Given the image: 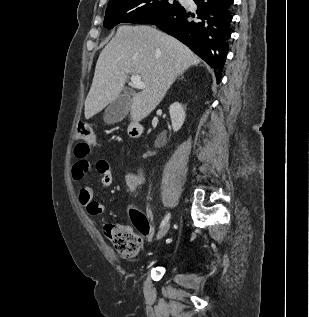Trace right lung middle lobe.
I'll list each match as a JSON object with an SVG mask.
<instances>
[{"label": "right lung middle lobe", "mask_w": 309, "mask_h": 317, "mask_svg": "<svg viewBox=\"0 0 309 317\" xmlns=\"http://www.w3.org/2000/svg\"><path fill=\"white\" fill-rule=\"evenodd\" d=\"M179 6L176 0H110L103 25L107 29H112L119 23H138Z\"/></svg>", "instance_id": "right-lung-middle-lobe-1"}]
</instances>
